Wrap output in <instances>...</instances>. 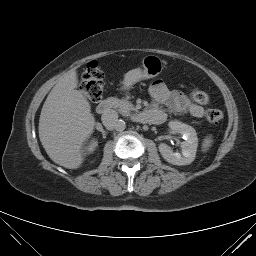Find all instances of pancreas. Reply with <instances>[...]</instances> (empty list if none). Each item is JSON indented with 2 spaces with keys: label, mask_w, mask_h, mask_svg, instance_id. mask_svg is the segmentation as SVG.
Listing matches in <instances>:
<instances>
[{
  "label": "pancreas",
  "mask_w": 256,
  "mask_h": 256,
  "mask_svg": "<svg viewBox=\"0 0 256 256\" xmlns=\"http://www.w3.org/2000/svg\"><path fill=\"white\" fill-rule=\"evenodd\" d=\"M112 106L117 109L122 115H130L131 110H135L133 104L127 99H118L113 97L110 99Z\"/></svg>",
  "instance_id": "pancreas-1"
}]
</instances>
